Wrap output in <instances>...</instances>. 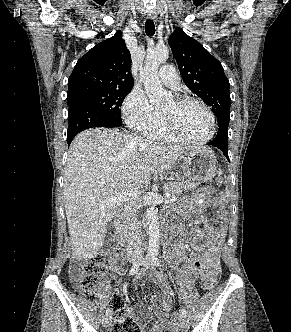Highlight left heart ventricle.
Masks as SVG:
<instances>
[{
  "label": "left heart ventricle",
  "mask_w": 291,
  "mask_h": 332,
  "mask_svg": "<svg viewBox=\"0 0 291 332\" xmlns=\"http://www.w3.org/2000/svg\"><path fill=\"white\" fill-rule=\"evenodd\" d=\"M162 111L171 116L177 127L189 137L200 139L210 132L209 116L196 103H186L179 106L172 99L162 107Z\"/></svg>",
  "instance_id": "left-heart-ventricle-1"
}]
</instances>
